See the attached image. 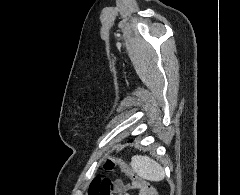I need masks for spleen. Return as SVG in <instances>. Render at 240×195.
Returning <instances> with one entry per match:
<instances>
[{"instance_id":"obj_1","label":"spleen","mask_w":240,"mask_h":195,"mask_svg":"<svg viewBox=\"0 0 240 195\" xmlns=\"http://www.w3.org/2000/svg\"><path fill=\"white\" fill-rule=\"evenodd\" d=\"M131 165L137 175L149 181H161L165 177L164 167L147 157V155H133Z\"/></svg>"}]
</instances>
